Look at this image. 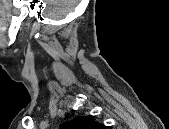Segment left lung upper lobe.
<instances>
[{
	"label": "left lung upper lobe",
	"instance_id": "obj_1",
	"mask_svg": "<svg viewBox=\"0 0 169 129\" xmlns=\"http://www.w3.org/2000/svg\"><path fill=\"white\" fill-rule=\"evenodd\" d=\"M61 129H104V126L96 122L92 116H81L76 117L75 119L64 122L61 126Z\"/></svg>",
	"mask_w": 169,
	"mask_h": 129
}]
</instances>
